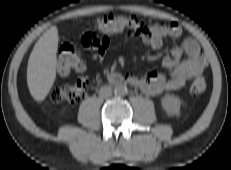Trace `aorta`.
I'll list each match as a JSON object with an SVG mask.
<instances>
[{
  "mask_svg": "<svg viewBox=\"0 0 231 170\" xmlns=\"http://www.w3.org/2000/svg\"><path fill=\"white\" fill-rule=\"evenodd\" d=\"M114 92L115 94L119 95V96H123L126 95L128 92V89L125 85L123 84H117L114 88Z\"/></svg>",
  "mask_w": 231,
  "mask_h": 170,
  "instance_id": "1",
  "label": "aorta"
}]
</instances>
